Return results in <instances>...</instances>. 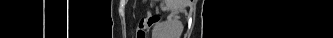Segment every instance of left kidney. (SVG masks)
Here are the masks:
<instances>
[{
	"label": "left kidney",
	"instance_id": "5707ae66",
	"mask_svg": "<svg viewBox=\"0 0 333 38\" xmlns=\"http://www.w3.org/2000/svg\"><path fill=\"white\" fill-rule=\"evenodd\" d=\"M154 32L159 35V38H180L183 32V25L177 18L169 16L165 21L158 24Z\"/></svg>",
	"mask_w": 333,
	"mask_h": 38
}]
</instances>
